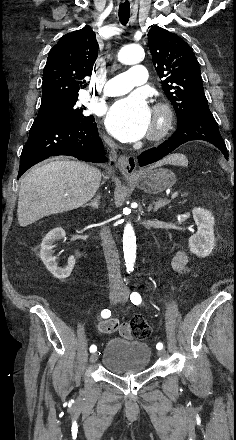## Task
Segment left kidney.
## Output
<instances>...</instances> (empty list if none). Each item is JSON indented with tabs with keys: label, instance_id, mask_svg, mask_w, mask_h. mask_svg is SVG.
<instances>
[{
	"label": "left kidney",
	"instance_id": "obj_1",
	"mask_svg": "<svg viewBox=\"0 0 236 440\" xmlns=\"http://www.w3.org/2000/svg\"><path fill=\"white\" fill-rule=\"evenodd\" d=\"M192 213L198 231L189 238V249L198 257L205 258L215 246L214 217L211 212L200 207L194 208Z\"/></svg>",
	"mask_w": 236,
	"mask_h": 440
}]
</instances>
